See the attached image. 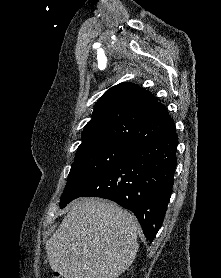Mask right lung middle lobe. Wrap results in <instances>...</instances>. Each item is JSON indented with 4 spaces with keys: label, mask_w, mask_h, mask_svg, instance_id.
I'll return each instance as SVG.
<instances>
[{
    "label": "right lung middle lobe",
    "mask_w": 221,
    "mask_h": 278,
    "mask_svg": "<svg viewBox=\"0 0 221 278\" xmlns=\"http://www.w3.org/2000/svg\"><path fill=\"white\" fill-rule=\"evenodd\" d=\"M133 144L117 140L92 141L78 147L60 206L65 207L100 175L121 162Z\"/></svg>",
    "instance_id": "dd1d6c3e"
}]
</instances>
